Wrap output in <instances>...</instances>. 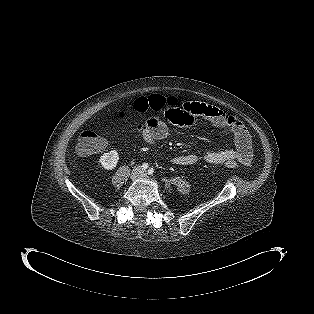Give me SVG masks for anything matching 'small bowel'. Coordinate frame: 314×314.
Returning <instances> with one entry per match:
<instances>
[{"label": "small bowel", "mask_w": 314, "mask_h": 314, "mask_svg": "<svg viewBox=\"0 0 314 314\" xmlns=\"http://www.w3.org/2000/svg\"><path fill=\"white\" fill-rule=\"evenodd\" d=\"M164 120L170 125L203 126L209 125L218 129L228 130L234 136L235 148L222 151H208L201 158L209 164H223L226 159L238 160L241 164H251L253 151L251 138L240 120L221 109L200 102L186 104H170L163 111ZM138 133L147 144L163 140L168 129L159 118L138 126ZM105 147V142L102 149ZM101 149V150H102ZM199 157L193 153L179 155L173 158V163L180 166H191L197 163Z\"/></svg>", "instance_id": "obj_1"}]
</instances>
